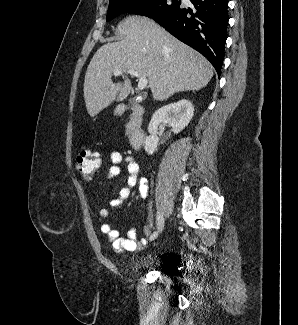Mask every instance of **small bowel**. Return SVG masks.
Listing matches in <instances>:
<instances>
[{"mask_svg":"<svg viewBox=\"0 0 298 325\" xmlns=\"http://www.w3.org/2000/svg\"><path fill=\"white\" fill-rule=\"evenodd\" d=\"M110 160L112 165L110 166L106 179L111 180L121 173V165H125L126 172L128 174L126 178V186L120 189V191L111 200L110 205L116 210L123 208L124 201L130 196L131 189L137 188L142 199H147L149 188L148 181L145 177L139 176V165L130 155L122 154L118 151H112L110 154ZM146 208V205L143 204ZM99 216L101 218H107L109 216V210L105 207L99 209ZM150 225L146 227V233L150 232ZM102 234L107 237L111 245V249L120 253L123 251H134L138 247L146 244V239H138L137 232L134 228H129L126 237H121L118 229L112 227L110 224H102L100 228Z\"/></svg>","mask_w":298,"mask_h":325,"instance_id":"small-bowel-1","label":"small bowel"}]
</instances>
